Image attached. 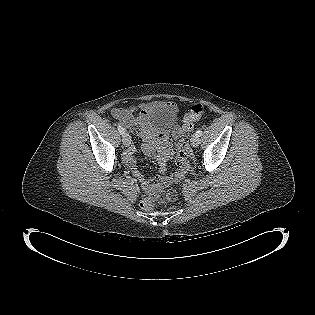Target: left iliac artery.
Segmentation results:
<instances>
[{
  "label": "left iliac artery",
  "instance_id": "left-iliac-artery-1",
  "mask_svg": "<svg viewBox=\"0 0 315 315\" xmlns=\"http://www.w3.org/2000/svg\"><path fill=\"white\" fill-rule=\"evenodd\" d=\"M201 134H202V130H201V129H199V130L196 131V135H197L198 137H200Z\"/></svg>",
  "mask_w": 315,
  "mask_h": 315
}]
</instances>
